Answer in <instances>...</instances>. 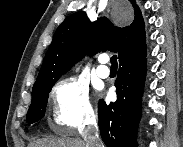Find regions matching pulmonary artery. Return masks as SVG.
Listing matches in <instances>:
<instances>
[{
  "label": "pulmonary artery",
  "instance_id": "1",
  "mask_svg": "<svg viewBox=\"0 0 183 147\" xmlns=\"http://www.w3.org/2000/svg\"><path fill=\"white\" fill-rule=\"evenodd\" d=\"M99 66L97 67V74L101 78H107L110 74L109 68L106 66V63L108 62V56L107 55H101L98 59Z\"/></svg>",
  "mask_w": 183,
  "mask_h": 147
}]
</instances>
